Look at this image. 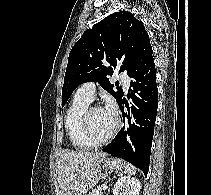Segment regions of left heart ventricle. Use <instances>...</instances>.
Listing matches in <instances>:
<instances>
[{"label":"left heart ventricle","mask_w":211,"mask_h":195,"mask_svg":"<svg viewBox=\"0 0 211 195\" xmlns=\"http://www.w3.org/2000/svg\"><path fill=\"white\" fill-rule=\"evenodd\" d=\"M115 119L106 109H97L91 113L90 132L94 139H104L113 129Z\"/></svg>","instance_id":"obj_1"}]
</instances>
